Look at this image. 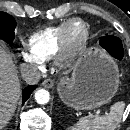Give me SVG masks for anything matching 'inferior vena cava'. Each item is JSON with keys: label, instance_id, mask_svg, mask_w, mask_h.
Segmentation results:
<instances>
[{"label": "inferior vena cava", "instance_id": "obj_1", "mask_svg": "<svg viewBox=\"0 0 130 130\" xmlns=\"http://www.w3.org/2000/svg\"><path fill=\"white\" fill-rule=\"evenodd\" d=\"M21 74L24 80L31 85L37 84L40 80V71L34 64H22Z\"/></svg>", "mask_w": 130, "mask_h": 130}]
</instances>
